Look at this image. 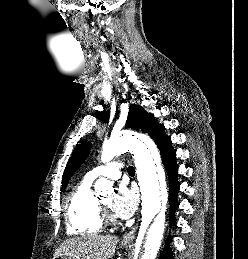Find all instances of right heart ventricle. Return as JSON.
I'll use <instances>...</instances> for the list:
<instances>
[{"mask_svg":"<svg viewBox=\"0 0 248 259\" xmlns=\"http://www.w3.org/2000/svg\"><path fill=\"white\" fill-rule=\"evenodd\" d=\"M91 186L92 180L84 177L68 196L65 219L70 234L97 233L103 227L99 201Z\"/></svg>","mask_w":248,"mask_h":259,"instance_id":"obj_1","label":"right heart ventricle"}]
</instances>
